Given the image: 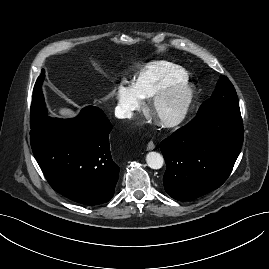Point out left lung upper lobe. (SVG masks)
I'll return each mask as SVG.
<instances>
[{
	"mask_svg": "<svg viewBox=\"0 0 269 269\" xmlns=\"http://www.w3.org/2000/svg\"><path fill=\"white\" fill-rule=\"evenodd\" d=\"M227 106H239V101L230 80L221 76L212 96L200 106L199 110L207 112Z\"/></svg>",
	"mask_w": 269,
	"mask_h": 269,
	"instance_id": "obj_1",
	"label": "left lung upper lobe"
}]
</instances>
